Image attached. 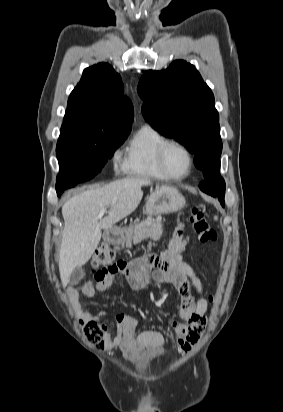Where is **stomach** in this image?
<instances>
[{
	"mask_svg": "<svg viewBox=\"0 0 283 412\" xmlns=\"http://www.w3.org/2000/svg\"><path fill=\"white\" fill-rule=\"evenodd\" d=\"M186 202L183 195L174 187H158L146 202V214L148 216H157L160 214H169L180 211L184 208ZM126 240L124 230L119 231L110 242L114 244H123Z\"/></svg>",
	"mask_w": 283,
	"mask_h": 412,
	"instance_id": "obj_1",
	"label": "stomach"
}]
</instances>
